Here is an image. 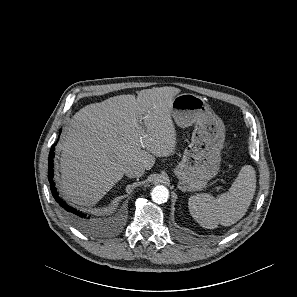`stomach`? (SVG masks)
<instances>
[{
  "instance_id": "0dacf381",
  "label": "stomach",
  "mask_w": 297,
  "mask_h": 297,
  "mask_svg": "<svg viewBox=\"0 0 297 297\" xmlns=\"http://www.w3.org/2000/svg\"><path fill=\"white\" fill-rule=\"evenodd\" d=\"M171 115L182 128L194 125L191 143L173 172L182 191H198L215 177L220 168L225 140L222 120L198 95L183 93L174 97Z\"/></svg>"
}]
</instances>
